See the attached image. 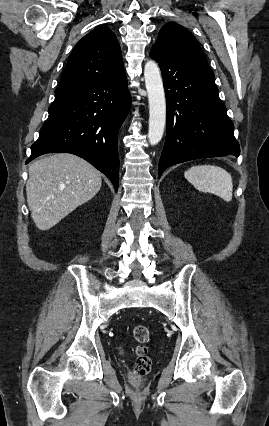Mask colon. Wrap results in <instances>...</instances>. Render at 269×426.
<instances>
[{
	"instance_id": "colon-1",
	"label": "colon",
	"mask_w": 269,
	"mask_h": 426,
	"mask_svg": "<svg viewBox=\"0 0 269 426\" xmlns=\"http://www.w3.org/2000/svg\"><path fill=\"white\" fill-rule=\"evenodd\" d=\"M133 339L137 344L136 348V361H135V372L138 381L150 370V359L148 358V347L147 343L150 340L149 329L145 325H136L132 330Z\"/></svg>"
}]
</instances>
